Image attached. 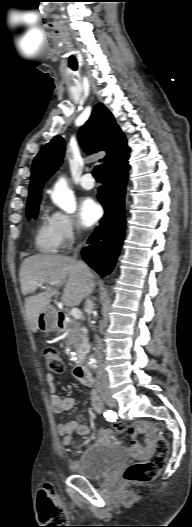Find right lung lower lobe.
<instances>
[{
	"label": "right lung lower lobe",
	"instance_id": "right-lung-lower-lobe-1",
	"mask_svg": "<svg viewBox=\"0 0 192 527\" xmlns=\"http://www.w3.org/2000/svg\"><path fill=\"white\" fill-rule=\"evenodd\" d=\"M128 154L104 172V187L99 188L98 199L105 214L88 240L92 244L82 250L83 259L101 276H106L113 269L124 238Z\"/></svg>",
	"mask_w": 192,
	"mask_h": 527
}]
</instances>
